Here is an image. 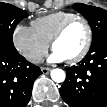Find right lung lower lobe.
<instances>
[{"label":"right lung lower lobe","instance_id":"1","mask_svg":"<svg viewBox=\"0 0 107 107\" xmlns=\"http://www.w3.org/2000/svg\"><path fill=\"white\" fill-rule=\"evenodd\" d=\"M40 74V68L20 54L0 50V107H25Z\"/></svg>","mask_w":107,"mask_h":107}]
</instances>
